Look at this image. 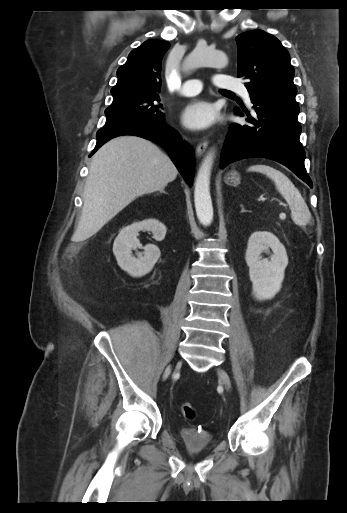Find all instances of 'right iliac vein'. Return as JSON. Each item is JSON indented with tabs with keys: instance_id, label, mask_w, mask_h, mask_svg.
Instances as JSON below:
<instances>
[{
	"instance_id": "63e3f726",
	"label": "right iliac vein",
	"mask_w": 347,
	"mask_h": 513,
	"mask_svg": "<svg viewBox=\"0 0 347 513\" xmlns=\"http://www.w3.org/2000/svg\"><path fill=\"white\" fill-rule=\"evenodd\" d=\"M181 363L178 362L177 365H176V368H175V372L178 370V368L180 367Z\"/></svg>"
}]
</instances>
